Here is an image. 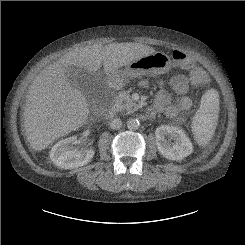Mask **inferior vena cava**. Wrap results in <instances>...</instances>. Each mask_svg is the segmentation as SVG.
I'll use <instances>...</instances> for the list:
<instances>
[{"label": "inferior vena cava", "mask_w": 245, "mask_h": 245, "mask_svg": "<svg viewBox=\"0 0 245 245\" xmlns=\"http://www.w3.org/2000/svg\"><path fill=\"white\" fill-rule=\"evenodd\" d=\"M122 126V121L120 118H114L110 122V128L114 130L120 129Z\"/></svg>", "instance_id": "1"}]
</instances>
